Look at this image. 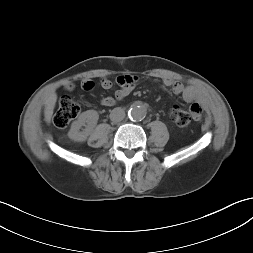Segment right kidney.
<instances>
[{
	"label": "right kidney",
	"mask_w": 253,
	"mask_h": 253,
	"mask_svg": "<svg viewBox=\"0 0 253 253\" xmlns=\"http://www.w3.org/2000/svg\"><path fill=\"white\" fill-rule=\"evenodd\" d=\"M98 119L99 115L95 110H87L83 112L78 120L72 123L68 132L69 138L76 142L86 141L93 128L96 126ZM82 126H85L86 128L80 131Z\"/></svg>",
	"instance_id": "obj_1"
}]
</instances>
